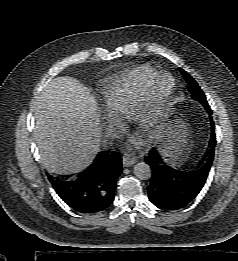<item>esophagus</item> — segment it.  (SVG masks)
<instances>
[{
    "mask_svg": "<svg viewBox=\"0 0 238 261\" xmlns=\"http://www.w3.org/2000/svg\"><path fill=\"white\" fill-rule=\"evenodd\" d=\"M136 161H137L136 157L129 156V155L123 156V160H122L124 167H129V166L135 164Z\"/></svg>",
    "mask_w": 238,
    "mask_h": 261,
    "instance_id": "34e87169",
    "label": "esophagus"
}]
</instances>
